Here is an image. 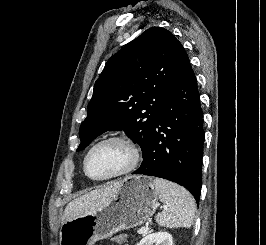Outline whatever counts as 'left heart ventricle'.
Masks as SVG:
<instances>
[{
	"instance_id": "obj_1",
	"label": "left heart ventricle",
	"mask_w": 266,
	"mask_h": 245,
	"mask_svg": "<svg viewBox=\"0 0 266 245\" xmlns=\"http://www.w3.org/2000/svg\"><path fill=\"white\" fill-rule=\"evenodd\" d=\"M131 160L129 147L120 141H107L98 145L87 161L88 173L96 178L114 176L124 171Z\"/></svg>"
}]
</instances>
